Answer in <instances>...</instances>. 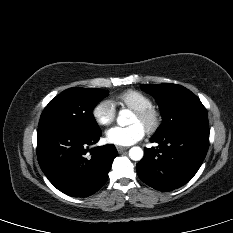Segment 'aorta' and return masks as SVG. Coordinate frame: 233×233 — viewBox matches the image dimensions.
<instances>
[{"label": "aorta", "mask_w": 233, "mask_h": 233, "mask_svg": "<svg viewBox=\"0 0 233 233\" xmlns=\"http://www.w3.org/2000/svg\"><path fill=\"white\" fill-rule=\"evenodd\" d=\"M131 116V112L129 110H121L119 112V116L117 118V122L120 126H126L128 125V118ZM129 157L134 161H139L143 157V150L138 147H132L129 150Z\"/></svg>", "instance_id": "762f6f07"}]
</instances>
